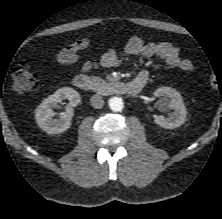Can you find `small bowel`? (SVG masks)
Segmentation results:
<instances>
[{
    "instance_id": "small-bowel-1",
    "label": "small bowel",
    "mask_w": 222,
    "mask_h": 219,
    "mask_svg": "<svg viewBox=\"0 0 222 219\" xmlns=\"http://www.w3.org/2000/svg\"><path fill=\"white\" fill-rule=\"evenodd\" d=\"M90 45V39L83 37L65 46L56 55L59 64L70 66L79 65L82 72L90 71L101 65L104 67H117L120 64L121 56L115 49H108L98 60L80 61L79 53L87 49ZM125 51L127 54L139 56L142 58L157 57L167 65L177 68L183 72L190 73L194 70L193 63L186 58L181 57L179 50L167 41L146 42L144 39L134 36L126 44ZM132 82L144 85L146 76L139 74Z\"/></svg>"
}]
</instances>
